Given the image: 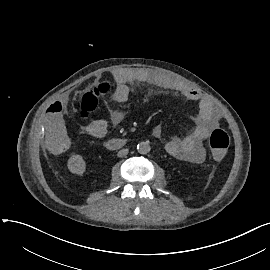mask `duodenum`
<instances>
[{"label":"duodenum","instance_id":"duodenum-1","mask_svg":"<svg viewBox=\"0 0 270 270\" xmlns=\"http://www.w3.org/2000/svg\"><path fill=\"white\" fill-rule=\"evenodd\" d=\"M125 143H126V141L123 139L114 138V139H110L106 142V147L108 149L114 150V149L121 148L122 146L125 145Z\"/></svg>","mask_w":270,"mask_h":270}]
</instances>
